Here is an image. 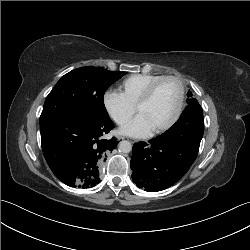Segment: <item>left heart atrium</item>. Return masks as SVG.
<instances>
[{"label":"left heart atrium","instance_id":"1","mask_svg":"<svg viewBox=\"0 0 250 250\" xmlns=\"http://www.w3.org/2000/svg\"><path fill=\"white\" fill-rule=\"evenodd\" d=\"M152 132L146 119L137 114L131 121L120 128V133L132 137H145Z\"/></svg>","mask_w":250,"mask_h":250}]
</instances>
